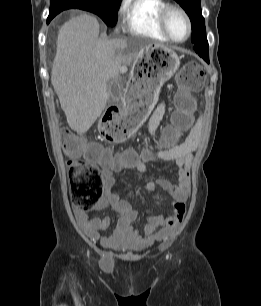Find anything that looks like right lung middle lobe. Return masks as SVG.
Wrapping results in <instances>:
<instances>
[{"label": "right lung middle lobe", "mask_w": 261, "mask_h": 306, "mask_svg": "<svg viewBox=\"0 0 261 306\" xmlns=\"http://www.w3.org/2000/svg\"><path fill=\"white\" fill-rule=\"evenodd\" d=\"M121 0H76L50 2L49 16L55 17L63 10L78 8L97 14L108 25L113 27L117 22V10Z\"/></svg>", "instance_id": "right-lung-middle-lobe-1"}]
</instances>
